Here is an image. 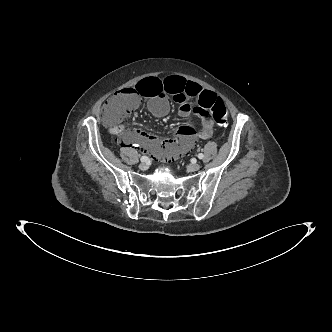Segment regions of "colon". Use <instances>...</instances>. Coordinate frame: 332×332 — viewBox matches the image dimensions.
<instances>
[{
  "label": "colon",
  "mask_w": 332,
  "mask_h": 332,
  "mask_svg": "<svg viewBox=\"0 0 332 332\" xmlns=\"http://www.w3.org/2000/svg\"><path fill=\"white\" fill-rule=\"evenodd\" d=\"M135 81L133 83V88L122 90L120 93L111 97L103 109L104 122L108 127L114 129L119 134L118 138L120 141L121 132L123 130L120 126V122L123 118L134 112L139 106V96L134 87ZM210 111L218 126L224 127L227 125L229 119L228 110L220 98L216 97L212 100ZM185 152V148L171 151L166 155L164 160L168 163L173 162Z\"/></svg>",
  "instance_id": "obj_1"
}]
</instances>
